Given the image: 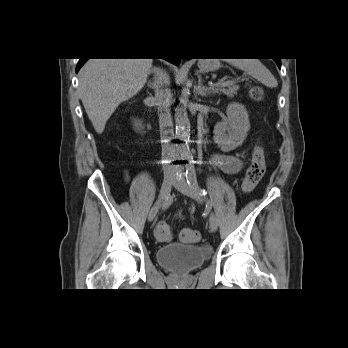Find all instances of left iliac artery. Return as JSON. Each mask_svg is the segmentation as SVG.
<instances>
[{"instance_id":"44dca946","label":"left iliac artery","mask_w":348,"mask_h":348,"mask_svg":"<svg viewBox=\"0 0 348 348\" xmlns=\"http://www.w3.org/2000/svg\"><path fill=\"white\" fill-rule=\"evenodd\" d=\"M186 180L187 183L196 191H198L200 194L202 195H206L207 192L205 191V189H202L199 187L198 185V181H197V176H196V172L192 167H188L186 170Z\"/></svg>"}]
</instances>
